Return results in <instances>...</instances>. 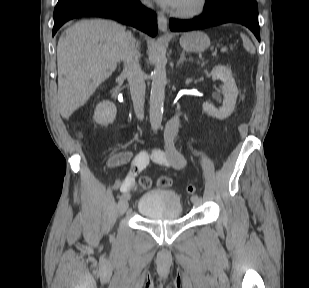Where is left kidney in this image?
I'll list each match as a JSON object with an SVG mask.
<instances>
[{"mask_svg":"<svg viewBox=\"0 0 309 288\" xmlns=\"http://www.w3.org/2000/svg\"><path fill=\"white\" fill-rule=\"evenodd\" d=\"M211 75L213 79H222L223 81V106L220 109H217L209 103L205 102L203 103L202 107L207 114L222 120L232 114L236 105L238 89L232 76V72L229 68L222 65H217L212 69Z\"/></svg>","mask_w":309,"mask_h":288,"instance_id":"5707ae66","label":"left kidney"}]
</instances>
